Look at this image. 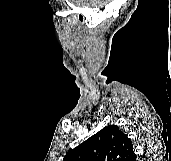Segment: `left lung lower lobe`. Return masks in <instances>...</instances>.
I'll return each instance as SVG.
<instances>
[{"label":"left lung lower lobe","mask_w":171,"mask_h":161,"mask_svg":"<svg viewBox=\"0 0 171 161\" xmlns=\"http://www.w3.org/2000/svg\"><path fill=\"white\" fill-rule=\"evenodd\" d=\"M131 161H136V155L131 159Z\"/></svg>","instance_id":"0a47b994"}]
</instances>
